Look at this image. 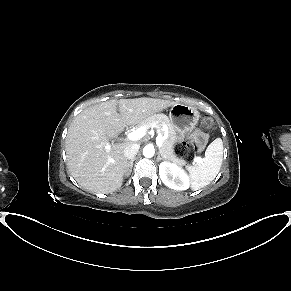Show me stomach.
Listing matches in <instances>:
<instances>
[{
	"mask_svg": "<svg viewBox=\"0 0 291 291\" xmlns=\"http://www.w3.org/2000/svg\"><path fill=\"white\" fill-rule=\"evenodd\" d=\"M200 113L194 107L176 103L172 106L169 118L175 131L179 134H187L196 126Z\"/></svg>",
	"mask_w": 291,
	"mask_h": 291,
	"instance_id": "1",
	"label": "stomach"
}]
</instances>
